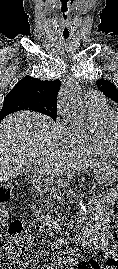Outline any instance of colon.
Returning <instances> with one entry per match:
<instances>
[{
	"mask_svg": "<svg viewBox=\"0 0 118 269\" xmlns=\"http://www.w3.org/2000/svg\"><path fill=\"white\" fill-rule=\"evenodd\" d=\"M11 195L9 186L0 185V215L10 201ZM31 257L30 240L22 234L21 222L11 221L3 251L0 252V269H20L31 260Z\"/></svg>",
	"mask_w": 118,
	"mask_h": 269,
	"instance_id": "1",
	"label": "colon"
}]
</instances>
